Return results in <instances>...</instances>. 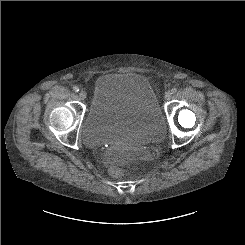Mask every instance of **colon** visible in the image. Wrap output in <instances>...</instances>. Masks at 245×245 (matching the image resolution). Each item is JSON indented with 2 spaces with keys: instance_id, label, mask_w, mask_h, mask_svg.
I'll return each mask as SVG.
<instances>
[{
  "instance_id": "colon-1",
  "label": "colon",
  "mask_w": 245,
  "mask_h": 245,
  "mask_svg": "<svg viewBox=\"0 0 245 245\" xmlns=\"http://www.w3.org/2000/svg\"><path fill=\"white\" fill-rule=\"evenodd\" d=\"M110 173L113 175V176H120L122 174V169L116 165H113L111 168H110Z\"/></svg>"
}]
</instances>
